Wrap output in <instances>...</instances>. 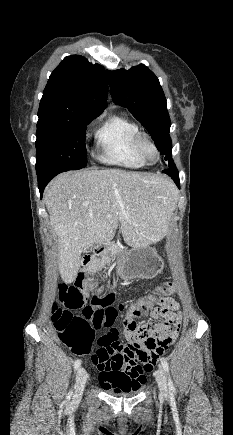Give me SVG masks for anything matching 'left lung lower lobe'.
<instances>
[{
	"label": "left lung lower lobe",
	"instance_id": "left-lung-lower-lobe-1",
	"mask_svg": "<svg viewBox=\"0 0 233 435\" xmlns=\"http://www.w3.org/2000/svg\"><path fill=\"white\" fill-rule=\"evenodd\" d=\"M167 175H169L174 182L179 186V173L176 167H172L163 171Z\"/></svg>",
	"mask_w": 233,
	"mask_h": 435
}]
</instances>
